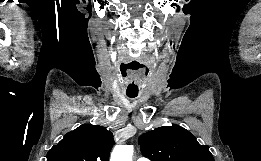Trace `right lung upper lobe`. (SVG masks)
<instances>
[{
    "label": "right lung upper lobe",
    "instance_id": "1",
    "mask_svg": "<svg viewBox=\"0 0 261 161\" xmlns=\"http://www.w3.org/2000/svg\"><path fill=\"white\" fill-rule=\"evenodd\" d=\"M113 145V134L105 127L83 124L50 149L47 161H108Z\"/></svg>",
    "mask_w": 261,
    "mask_h": 161
}]
</instances>
